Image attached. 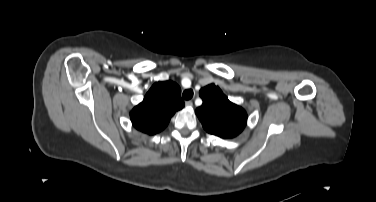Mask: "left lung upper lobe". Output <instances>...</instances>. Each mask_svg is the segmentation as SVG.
<instances>
[{
  "instance_id": "1",
  "label": "left lung upper lobe",
  "mask_w": 376,
  "mask_h": 202,
  "mask_svg": "<svg viewBox=\"0 0 376 202\" xmlns=\"http://www.w3.org/2000/svg\"><path fill=\"white\" fill-rule=\"evenodd\" d=\"M199 94L203 104L196 109V114L208 133L233 138L243 131L247 123L246 111L230 102L219 87L210 84Z\"/></svg>"
}]
</instances>
